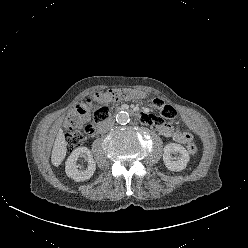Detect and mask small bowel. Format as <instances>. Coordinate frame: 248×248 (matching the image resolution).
Wrapping results in <instances>:
<instances>
[{"label": "small bowel", "instance_id": "small-bowel-1", "mask_svg": "<svg viewBox=\"0 0 248 248\" xmlns=\"http://www.w3.org/2000/svg\"><path fill=\"white\" fill-rule=\"evenodd\" d=\"M148 105L158 113V116L144 114L142 123L151 125L154 129L166 137H171L174 141L180 144H187L192 141L193 136L188 132L176 131L173 126L164 123L165 121L177 120L180 117V112L173 107L171 102L163 101L161 98L151 97L148 100ZM183 120L187 126L198 136L201 137V132L197 123L189 115H183Z\"/></svg>", "mask_w": 248, "mask_h": 248}]
</instances>
